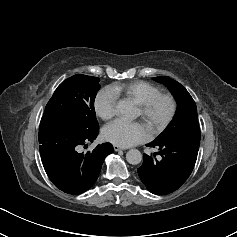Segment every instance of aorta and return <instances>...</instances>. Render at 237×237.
Masks as SVG:
<instances>
[{
    "mask_svg": "<svg viewBox=\"0 0 237 237\" xmlns=\"http://www.w3.org/2000/svg\"><path fill=\"white\" fill-rule=\"evenodd\" d=\"M120 114L126 119L133 118V110L132 107L125 102H120L117 106ZM126 160L129 164L137 165L142 161V154L137 149H131L126 154Z\"/></svg>",
    "mask_w": 237,
    "mask_h": 237,
    "instance_id": "762f6f07",
    "label": "aorta"
}]
</instances>
